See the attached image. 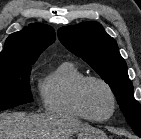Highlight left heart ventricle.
I'll list each match as a JSON object with an SVG mask.
<instances>
[{
    "mask_svg": "<svg viewBox=\"0 0 141 139\" xmlns=\"http://www.w3.org/2000/svg\"><path fill=\"white\" fill-rule=\"evenodd\" d=\"M86 107L91 115L103 118L109 115L112 108L111 97L107 89L98 82H90L84 91Z\"/></svg>",
    "mask_w": 141,
    "mask_h": 139,
    "instance_id": "obj_1",
    "label": "left heart ventricle"
}]
</instances>
